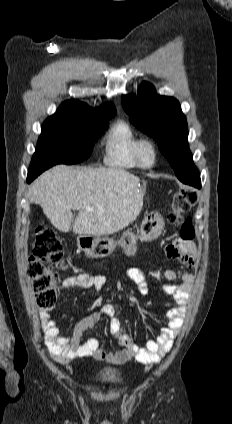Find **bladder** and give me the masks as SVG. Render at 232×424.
Returning <instances> with one entry per match:
<instances>
[{"label":"bladder","mask_w":232,"mask_h":424,"mask_svg":"<svg viewBox=\"0 0 232 424\" xmlns=\"http://www.w3.org/2000/svg\"><path fill=\"white\" fill-rule=\"evenodd\" d=\"M95 379L99 382L118 386L123 384L125 376L123 370L120 368L102 367L96 373Z\"/></svg>","instance_id":"1"}]
</instances>
